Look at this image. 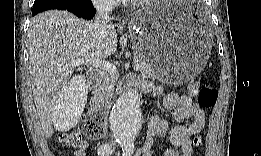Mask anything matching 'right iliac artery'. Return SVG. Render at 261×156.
<instances>
[{
  "mask_svg": "<svg viewBox=\"0 0 261 156\" xmlns=\"http://www.w3.org/2000/svg\"><path fill=\"white\" fill-rule=\"evenodd\" d=\"M119 142L118 139L110 142V143H104L98 148V155L101 156H108L111 155L115 149L116 143Z\"/></svg>",
  "mask_w": 261,
  "mask_h": 156,
  "instance_id": "obj_1",
  "label": "right iliac artery"
}]
</instances>
